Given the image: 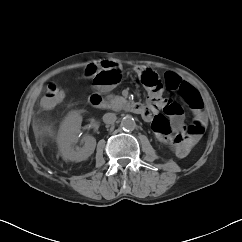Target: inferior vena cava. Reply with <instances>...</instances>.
<instances>
[{
  "mask_svg": "<svg viewBox=\"0 0 242 242\" xmlns=\"http://www.w3.org/2000/svg\"><path fill=\"white\" fill-rule=\"evenodd\" d=\"M117 117L115 113H106L103 115V122L106 124H113Z\"/></svg>",
  "mask_w": 242,
  "mask_h": 242,
  "instance_id": "602c4592",
  "label": "inferior vena cava"
}]
</instances>
